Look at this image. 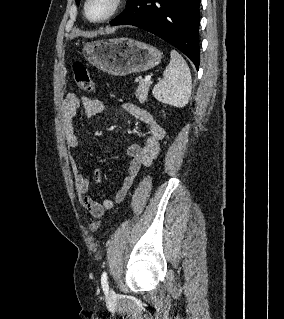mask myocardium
Instances as JSON below:
<instances>
[{
    "label": "myocardium",
    "mask_w": 284,
    "mask_h": 319,
    "mask_svg": "<svg viewBox=\"0 0 284 319\" xmlns=\"http://www.w3.org/2000/svg\"><path fill=\"white\" fill-rule=\"evenodd\" d=\"M91 0H85L84 5H83V13L85 18L94 24H101V23H105L110 21L111 19H113L122 9L123 5H124V0H112L111 3V8L109 10V12L102 18L100 19H93L89 16L88 14V5L90 3Z\"/></svg>",
    "instance_id": "f54148a6"
}]
</instances>
